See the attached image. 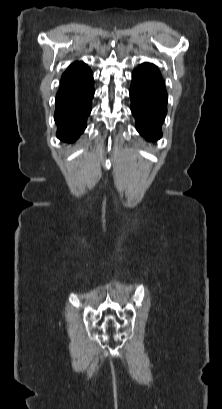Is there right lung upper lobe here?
I'll use <instances>...</instances> for the list:
<instances>
[{
    "instance_id": "1",
    "label": "right lung upper lobe",
    "mask_w": 222,
    "mask_h": 409,
    "mask_svg": "<svg viewBox=\"0 0 222 409\" xmlns=\"http://www.w3.org/2000/svg\"><path fill=\"white\" fill-rule=\"evenodd\" d=\"M88 70L89 68L84 63L75 62L68 67L65 73L77 74L87 72ZM66 87H68V85L61 81V86L59 90L65 89Z\"/></svg>"
}]
</instances>
